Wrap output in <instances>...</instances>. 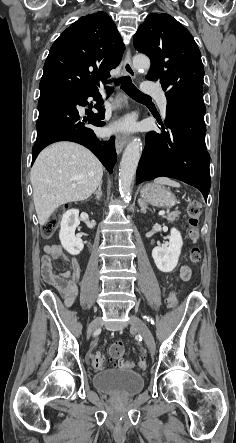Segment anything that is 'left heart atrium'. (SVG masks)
<instances>
[{
	"instance_id": "left-heart-atrium-1",
	"label": "left heart atrium",
	"mask_w": 236,
	"mask_h": 443,
	"mask_svg": "<svg viewBox=\"0 0 236 443\" xmlns=\"http://www.w3.org/2000/svg\"><path fill=\"white\" fill-rule=\"evenodd\" d=\"M134 127V124L131 120L129 119H125L122 120L120 122H117L113 127L112 130L115 131H126V130H131Z\"/></svg>"
}]
</instances>
